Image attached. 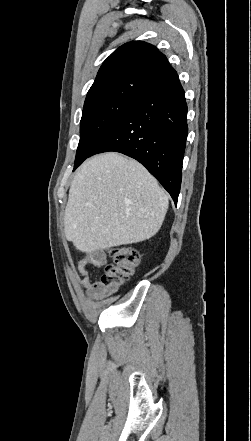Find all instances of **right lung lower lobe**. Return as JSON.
Listing matches in <instances>:
<instances>
[{"label": "right lung lower lobe", "mask_w": 251, "mask_h": 441, "mask_svg": "<svg viewBox=\"0 0 251 441\" xmlns=\"http://www.w3.org/2000/svg\"><path fill=\"white\" fill-rule=\"evenodd\" d=\"M185 93L177 73L150 89L97 143L89 157L114 151L143 164L177 204L187 126Z\"/></svg>", "instance_id": "right-lung-lower-lobe-1"}]
</instances>
